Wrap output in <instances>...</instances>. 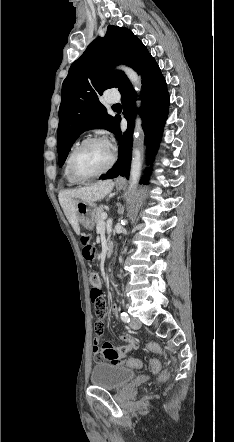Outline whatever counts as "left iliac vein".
I'll use <instances>...</instances> for the list:
<instances>
[{
	"label": "left iliac vein",
	"mask_w": 234,
	"mask_h": 442,
	"mask_svg": "<svg viewBox=\"0 0 234 442\" xmlns=\"http://www.w3.org/2000/svg\"><path fill=\"white\" fill-rule=\"evenodd\" d=\"M129 324L133 329H139L141 327V321L137 317H132Z\"/></svg>",
	"instance_id": "obj_1"
}]
</instances>
